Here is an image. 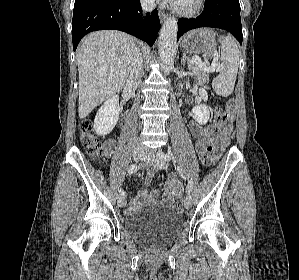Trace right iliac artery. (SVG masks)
I'll return each mask as SVG.
<instances>
[{"instance_id":"right-iliac-artery-1","label":"right iliac artery","mask_w":299,"mask_h":280,"mask_svg":"<svg viewBox=\"0 0 299 280\" xmlns=\"http://www.w3.org/2000/svg\"><path fill=\"white\" fill-rule=\"evenodd\" d=\"M127 171L129 174L135 173L137 171V165L136 164L130 165L128 167ZM118 191H119L120 195H125V191L122 188H120Z\"/></svg>"}]
</instances>
